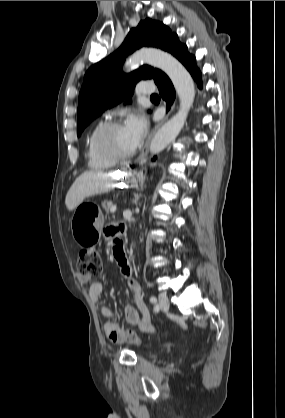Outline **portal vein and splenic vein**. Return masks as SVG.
Masks as SVG:
<instances>
[{"label":"portal vein and splenic vein","instance_id":"1","mask_svg":"<svg viewBox=\"0 0 285 418\" xmlns=\"http://www.w3.org/2000/svg\"><path fill=\"white\" fill-rule=\"evenodd\" d=\"M116 211V205H112L111 207H110V212L111 213H114Z\"/></svg>","mask_w":285,"mask_h":418}]
</instances>
